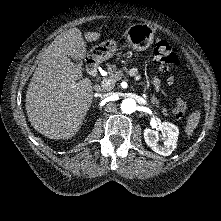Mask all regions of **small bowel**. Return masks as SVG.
<instances>
[{"instance_id": "1", "label": "small bowel", "mask_w": 221, "mask_h": 221, "mask_svg": "<svg viewBox=\"0 0 221 221\" xmlns=\"http://www.w3.org/2000/svg\"><path fill=\"white\" fill-rule=\"evenodd\" d=\"M153 84H154L155 86H157L158 80H157L156 78H153Z\"/></svg>"}]
</instances>
